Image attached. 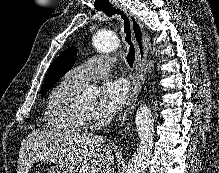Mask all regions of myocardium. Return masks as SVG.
I'll return each instance as SVG.
<instances>
[{
  "mask_svg": "<svg viewBox=\"0 0 219 173\" xmlns=\"http://www.w3.org/2000/svg\"><path fill=\"white\" fill-rule=\"evenodd\" d=\"M75 111L77 116L85 123V124H94L97 120L96 115H92L88 113L80 104V100L76 98L75 101Z\"/></svg>",
  "mask_w": 219,
  "mask_h": 173,
  "instance_id": "myocardium-1",
  "label": "myocardium"
}]
</instances>
